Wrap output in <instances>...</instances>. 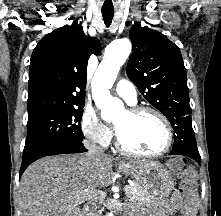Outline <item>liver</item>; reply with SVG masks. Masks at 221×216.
Wrapping results in <instances>:
<instances>
[{"label": "liver", "instance_id": "6515ba94", "mask_svg": "<svg viewBox=\"0 0 221 216\" xmlns=\"http://www.w3.org/2000/svg\"><path fill=\"white\" fill-rule=\"evenodd\" d=\"M113 157L102 154L59 155L32 163L20 180L24 216H81L84 194L108 187L113 179ZM141 164L140 160H130Z\"/></svg>", "mask_w": 221, "mask_h": 216}]
</instances>
